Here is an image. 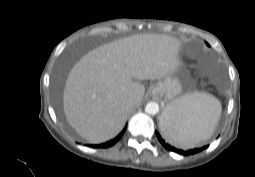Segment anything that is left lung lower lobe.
I'll return each mask as SVG.
<instances>
[{"mask_svg": "<svg viewBox=\"0 0 255 177\" xmlns=\"http://www.w3.org/2000/svg\"><path fill=\"white\" fill-rule=\"evenodd\" d=\"M156 135H157V138L158 140L160 141V143L169 151H172V152H176L180 155H184V156H189V155H193V154H196L198 152H201L203 151L204 149H206L208 147L207 146H203L201 148H194V149H190V150H182V149H178L176 147H173L172 145L166 143L162 138L161 136L159 135V133L156 131Z\"/></svg>", "mask_w": 255, "mask_h": 177, "instance_id": "1", "label": "left lung lower lobe"}]
</instances>
